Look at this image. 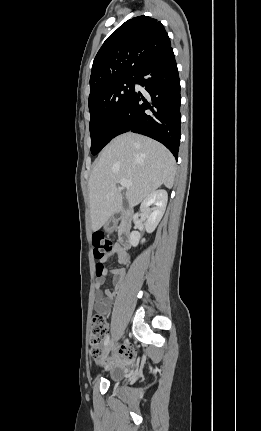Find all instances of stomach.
I'll return each instance as SVG.
<instances>
[{
	"label": "stomach",
	"mask_w": 261,
	"mask_h": 431,
	"mask_svg": "<svg viewBox=\"0 0 261 431\" xmlns=\"http://www.w3.org/2000/svg\"><path fill=\"white\" fill-rule=\"evenodd\" d=\"M104 229H105L107 232H111V231L113 230V226L110 224V222H107V223L104 225Z\"/></svg>",
	"instance_id": "0dacf381"
}]
</instances>
